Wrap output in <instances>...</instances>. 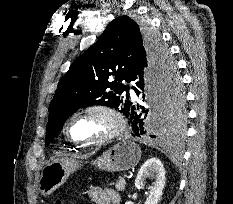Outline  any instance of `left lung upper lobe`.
I'll list each match as a JSON object with an SVG mask.
<instances>
[{
	"label": "left lung upper lobe",
	"mask_w": 233,
	"mask_h": 204,
	"mask_svg": "<svg viewBox=\"0 0 233 204\" xmlns=\"http://www.w3.org/2000/svg\"><path fill=\"white\" fill-rule=\"evenodd\" d=\"M140 53L160 83L166 125L181 128L185 116L184 95L168 48L148 26L121 16L108 24L98 41L77 58L60 79L49 105L45 146L78 108L103 105L124 114L132 103L128 99L129 87L121 82L130 81L132 67ZM124 91L127 99L119 96Z\"/></svg>",
	"instance_id": "left-lung-upper-lobe-1"
}]
</instances>
